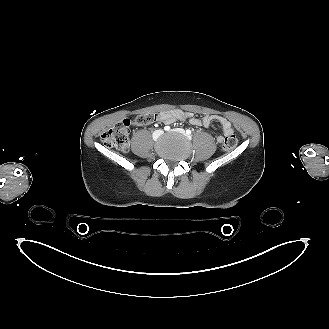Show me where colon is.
<instances>
[{"mask_svg": "<svg viewBox=\"0 0 329 329\" xmlns=\"http://www.w3.org/2000/svg\"><path fill=\"white\" fill-rule=\"evenodd\" d=\"M155 113H146L136 116L134 119L126 118L101 134V141L108 147L117 148L123 152L128 150V135L131 126H146L158 120ZM238 144L237 137L232 134L224 138L222 147L226 151L233 150Z\"/></svg>", "mask_w": 329, "mask_h": 329, "instance_id": "1", "label": "colon"}]
</instances>
